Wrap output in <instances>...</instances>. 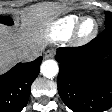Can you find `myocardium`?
Returning a JSON list of instances; mask_svg holds the SVG:
<instances>
[{
  "mask_svg": "<svg viewBox=\"0 0 112 112\" xmlns=\"http://www.w3.org/2000/svg\"><path fill=\"white\" fill-rule=\"evenodd\" d=\"M91 20L94 22V28L93 30L88 34H82V26L83 24ZM99 31V24L97 20L91 16H84L79 19V21L76 23L72 33H71V40L75 45H85L89 42H91L94 38H96Z\"/></svg>",
  "mask_w": 112,
  "mask_h": 112,
  "instance_id": "1",
  "label": "myocardium"
}]
</instances>
